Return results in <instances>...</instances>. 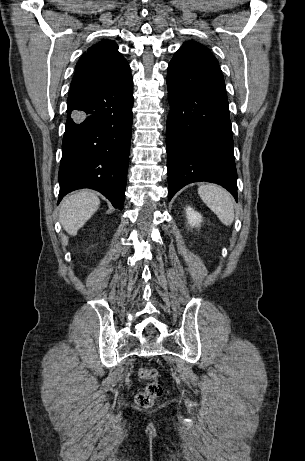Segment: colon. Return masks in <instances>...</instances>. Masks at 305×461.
<instances>
[{"instance_id":"1","label":"colon","mask_w":305,"mask_h":461,"mask_svg":"<svg viewBox=\"0 0 305 461\" xmlns=\"http://www.w3.org/2000/svg\"><path fill=\"white\" fill-rule=\"evenodd\" d=\"M139 376L147 380L148 384L144 390L137 393L135 400L138 406L149 408L163 395V387L158 381L159 374L155 369L142 368L139 371Z\"/></svg>"}]
</instances>
